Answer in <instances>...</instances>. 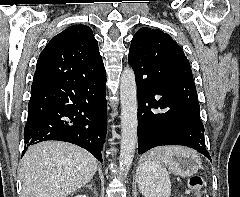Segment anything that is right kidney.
Wrapping results in <instances>:
<instances>
[{"mask_svg":"<svg viewBox=\"0 0 240 197\" xmlns=\"http://www.w3.org/2000/svg\"><path fill=\"white\" fill-rule=\"evenodd\" d=\"M75 197H88V196L80 194V195H76Z\"/></svg>","mask_w":240,"mask_h":197,"instance_id":"right-kidney-1","label":"right kidney"}]
</instances>
